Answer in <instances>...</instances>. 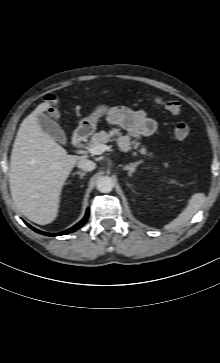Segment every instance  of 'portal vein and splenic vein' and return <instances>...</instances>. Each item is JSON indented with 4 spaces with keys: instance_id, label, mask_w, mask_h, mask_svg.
<instances>
[{
    "instance_id": "18ae733b",
    "label": "portal vein and splenic vein",
    "mask_w": 220,
    "mask_h": 363,
    "mask_svg": "<svg viewBox=\"0 0 220 363\" xmlns=\"http://www.w3.org/2000/svg\"><path fill=\"white\" fill-rule=\"evenodd\" d=\"M105 151H113V149L111 146H107L105 144L94 145L89 148V152L93 155H100Z\"/></svg>"
}]
</instances>
